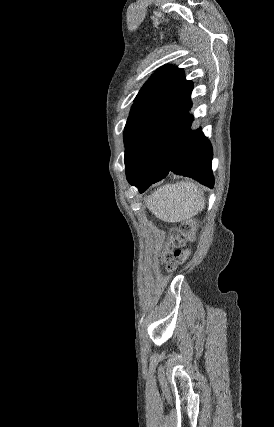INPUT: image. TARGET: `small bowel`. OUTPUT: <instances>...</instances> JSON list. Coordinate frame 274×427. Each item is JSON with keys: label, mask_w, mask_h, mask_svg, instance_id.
I'll list each match as a JSON object with an SVG mask.
<instances>
[{"label": "small bowel", "mask_w": 274, "mask_h": 427, "mask_svg": "<svg viewBox=\"0 0 274 427\" xmlns=\"http://www.w3.org/2000/svg\"><path fill=\"white\" fill-rule=\"evenodd\" d=\"M183 254H184V251H183V249H180V251H168V255L169 256H172V257H181V256H183ZM176 268L177 269H182L183 268V263L182 262H177L176 263ZM159 268L161 269V270H166L167 268H168V263L166 262V261H161L160 263H159ZM163 281L164 282H167L168 281V278L167 277H164L163 278Z\"/></svg>", "instance_id": "c3829d8e"}]
</instances>
